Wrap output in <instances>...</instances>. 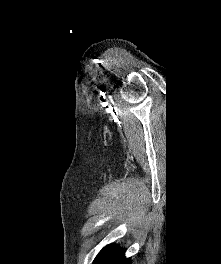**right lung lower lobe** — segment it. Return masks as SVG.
Masks as SVG:
<instances>
[{
  "mask_svg": "<svg viewBox=\"0 0 221 264\" xmlns=\"http://www.w3.org/2000/svg\"><path fill=\"white\" fill-rule=\"evenodd\" d=\"M93 264H131L128 259L124 257L122 249L116 245H107L97 255Z\"/></svg>",
  "mask_w": 221,
  "mask_h": 264,
  "instance_id": "1",
  "label": "right lung lower lobe"
}]
</instances>
